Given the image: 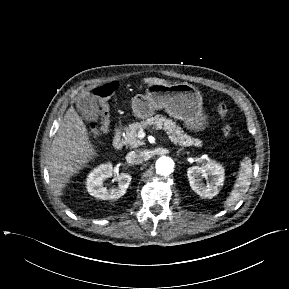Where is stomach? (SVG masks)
Listing matches in <instances>:
<instances>
[{
	"label": "stomach",
	"mask_w": 289,
	"mask_h": 289,
	"mask_svg": "<svg viewBox=\"0 0 289 289\" xmlns=\"http://www.w3.org/2000/svg\"><path fill=\"white\" fill-rule=\"evenodd\" d=\"M200 91L187 82L174 84H149L145 94L132 99V110L136 117L145 119L155 110L165 109L173 118L184 121L187 129L203 131L208 122L202 110Z\"/></svg>",
	"instance_id": "stomach-1"
}]
</instances>
